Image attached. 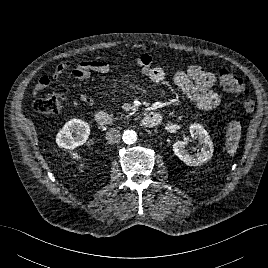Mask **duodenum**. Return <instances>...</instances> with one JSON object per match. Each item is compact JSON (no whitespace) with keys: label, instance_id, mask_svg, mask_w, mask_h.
I'll return each mask as SVG.
<instances>
[{"label":"duodenum","instance_id":"obj_1","mask_svg":"<svg viewBox=\"0 0 268 268\" xmlns=\"http://www.w3.org/2000/svg\"><path fill=\"white\" fill-rule=\"evenodd\" d=\"M95 120L99 125L102 126L113 125L115 123V117L105 112L97 113ZM161 120L162 117L160 114L151 112L143 117L140 124L142 127L150 128L158 125Z\"/></svg>","mask_w":268,"mask_h":268}]
</instances>
